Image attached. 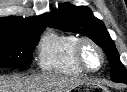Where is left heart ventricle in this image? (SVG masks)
Wrapping results in <instances>:
<instances>
[{
  "label": "left heart ventricle",
  "mask_w": 127,
  "mask_h": 92,
  "mask_svg": "<svg viewBox=\"0 0 127 92\" xmlns=\"http://www.w3.org/2000/svg\"><path fill=\"white\" fill-rule=\"evenodd\" d=\"M83 57L86 65L91 69H96L100 65V55L99 53L89 45H86L83 49Z\"/></svg>",
  "instance_id": "left-heart-ventricle-1"
}]
</instances>
